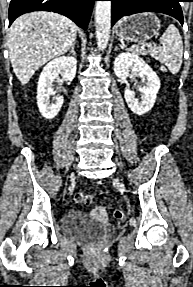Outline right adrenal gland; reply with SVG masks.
<instances>
[{
	"mask_svg": "<svg viewBox=\"0 0 193 287\" xmlns=\"http://www.w3.org/2000/svg\"><path fill=\"white\" fill-rule=\"evenodd\" d=\"M70 53L75 55V43L72 44Z\"/></svg>",
	"mask_w": 193,
	"mask_h": 287,
	"instance_id": "obj_1",
	"label": "right adrenal gland"
}]
</instances>
